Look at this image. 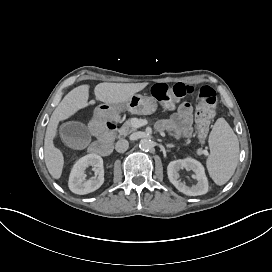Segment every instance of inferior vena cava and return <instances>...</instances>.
Returning a JSON list of instances; mask_svg holds the SVG:
<instances>
[{
  "instance_id": "1",
  "label": "inferior vena cava",
  "mask_w": 272,
  "mask_h": 272,
  "mask_svg": "<svg viewBox=\"0 0 272 272\" xmlns=\"http://www.w3.org/2000/svg\"><path fill=\"white\" fill-rule=\"evenodd\" d=\"M115 149L119 153L125 152L128 149V141L125 139L119 140L115 145Z\"/></svg>"
}]
</instances>
